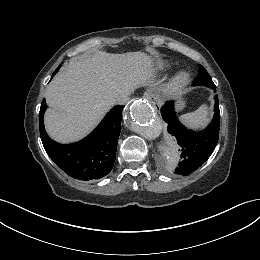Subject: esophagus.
<instances>
[{
	"mask_svg": "<svg viewBox=\"0 0 260 260\" xmlns=\"http://www.w3.org/2000/svg\"><path fill=\"white\" fill-rule=\"evenodd\" d=\"M144 98L146 99H151L152 98V93L150 91H146L143 95Z\"/></svg>",
	"mask_w": 260,
	"mask_h": 260,
	"instance_id": "1",
	"label": "esophagus"
}]
</instances>
